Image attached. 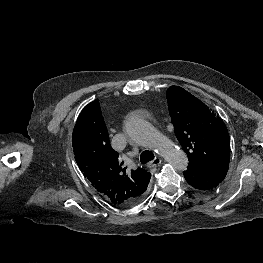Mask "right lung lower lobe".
Instances as JSON below:
<instances>
[{"mask_svg": "<svg viewBox=\"0 0 263 263\" xmlns=\"http://www.w3.org/2000/svg\"><path fill=\"white\" fill-rule=\"evenodd\" d=\"M143 193H144V192H143ZM143 193H142V194H143ZM142 194H140L138 197H136V198H134L133 200H131L126 206H130V205L138 202V201L141 199V197L143 196Z\"/></svg>", "mask_w": 263, "mask_h": 263, "instance_id": "98d812e1", "label": "right lung lower lobe"}]
</instances>
